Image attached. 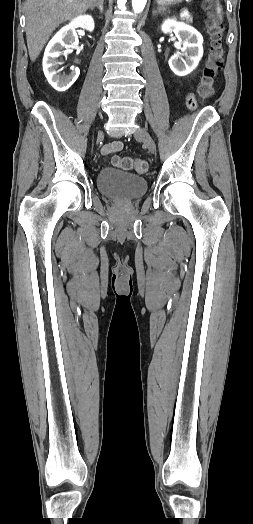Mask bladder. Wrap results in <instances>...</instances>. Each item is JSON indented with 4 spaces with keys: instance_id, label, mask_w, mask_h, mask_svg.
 <instances>
[{
    "instance_id": "1",
    "label": "bladder",
    "mask_w": 253,
    "mask_h": 524,
    "mask_svg": "<svg viewBox=\"0 0 253 524\" xmlns=\"http://www.w3.org/2000/svg\"><path fill=\"white\" fill-rule=\"evenodd\" d=\"M97 187L109 199L132 202L146 193L148 183L142 176L106 167L97 174Z\"/></svg>"
}]
</instances>
